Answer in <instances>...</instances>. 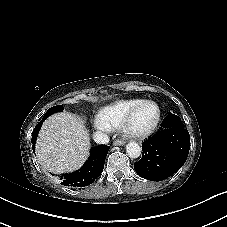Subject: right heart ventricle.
<instances>
[{"instance_id":"obj_1","label":"right heart ventricle","mask_w":227,"mask_h":227,"mask_svg":"<svg viewBox=\"0 0 227 227\" xmlns=\"http://www.w3.org/2000/svg\"><path fill=\"white\" fill-rule=\"evenodd\" d=\"M141 99H125L117 100L103 108H101L95 117V123L99 126L117 127L128 114V112L136 106Z\"/></svg>"}]
</instances>
